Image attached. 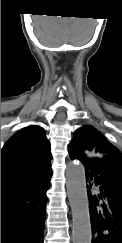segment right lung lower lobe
I'll return each instance as SVG.
<instances>
[{
    "instance_id": "98d812e1",
    "label": "right lung lower lobe",
    "mask_w": 122,
    "mask_h": 243,
    "mask_svg": "<svg viewBox=\"0 0 122 243\" xmlns=\"http://www.w3.org/2000/svg\"><path fill=\"white\" fill-rule=\"evenodd\" d=\"M52 171L1 191V243H43Z\"/></svg>"
}]
</instances>
